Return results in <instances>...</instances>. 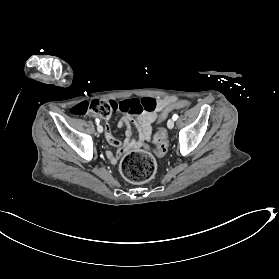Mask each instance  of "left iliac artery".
<instances>
[{
  "label": "left iliac artery",
  "mask_w": 279,
  "mask_h": 279,
  "mask_svg": "<svg viewBox=\"0 0 279 279\" xmlns=\"http://www.w3.org/2000/svg\"><path fill=\"white\" fill-rule=\"evenodd\" d=\"M177 118H178L177 114H174L173 117H172L173 120H177Z\"/></svg>",
  "instance_id": "1"
}]
</instances>
